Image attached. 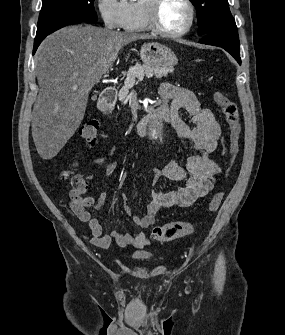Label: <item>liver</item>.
Here are the masks:
<instances>
[{"mask_svg": "<svg viewBox=\"0 0 285 335\" xmlns=\"http://www.w3.org/2000/svg\"><path fill=\"white\" fill-rule=\"evenodd\" d=\"M146 34H123L89 24L48 36L35 56L41 88L32 112V138L43 160H52L79 128L89 94L112 68L119 50Z\"/></svg>", "mask_w": 285, "mask_h": 335, "instance_id": "obj_1", "label": "liver"}]
</instances>
